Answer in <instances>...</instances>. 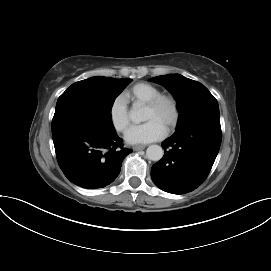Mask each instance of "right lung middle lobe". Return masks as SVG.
Masks as SVG:
<instances>
[{
	"label": "right lung middle lobe",
	"mask_w": 271,
	"mask_h": 271,
	"mask_svg": "<svg viewBox=\"0 0 271 271\" xmlns=\"http://www.w3.org/2000/svg\"><path fill=\"white\" fill-rule=\"evenodd\" d=\"M131 79L92 77L72 84L58 99L52 136L72 127L100 123L113 128L111 109Z\"/></svg>",
	"instance_id": "obj_1"
}]
</instances>
